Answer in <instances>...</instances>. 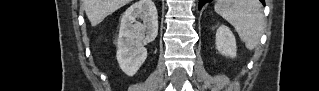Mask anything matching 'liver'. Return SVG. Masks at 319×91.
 Returning a JSON list of instances; mask_svg holds the SVG:
<instances>
[{"label":"liver","instance_id":"6515ba94","mask_svg":"<svg viewBox=\"0 0 319 91\" xmlns=\"http://www.w3.org/2000/svg\"><path fill=\"white\" fill-rule=\"evenodd\" d=\"M131 0H83L84 10L92 26L100 24L107 16Z\"/></svg>","mask_w":319,"mask_h":91}]
</instances>
